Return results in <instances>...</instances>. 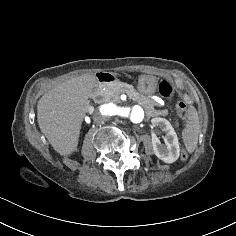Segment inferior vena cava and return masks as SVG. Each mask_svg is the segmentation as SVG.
I'll use <instances>...</instances> for the list:
<instances>
[{
    "label": "inferior vena cava",
    "instance_id": "602c4592",
    "mask_svg": "<svg viewBox=\"0 0 236 236\" xmlns=\"http://www.w3.org/2000/svg\"><path fill=\"white\" fill-rule=\"evenodd\" d=\"M93 122L96 123L97 125H102L105 122V119L103 118V116L98 112V110L96 109L93 112Z\"/></svg>",
    "mask_w": 236,
    "mask_h": 236
}]
</instances>
